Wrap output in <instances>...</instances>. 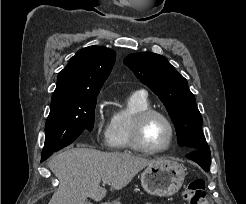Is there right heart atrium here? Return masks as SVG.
<instances>
[{
  "instance_id": "right-heart-atrium-1",
  "label": "right heart atrium",
  "mask_w": 246,
  "mask_h": 204,
  "mask_svg": "<svg viewBox=\"0 0 246 204\" xmlns=\"http://www.w3.org/2000/svg\"><path fill=\"white\" fill-rule=\"evenodd\" d=\"M107 128H103L102 122L97 124V137L98 139H106Z\"/></svg>"
}]
</instances>
